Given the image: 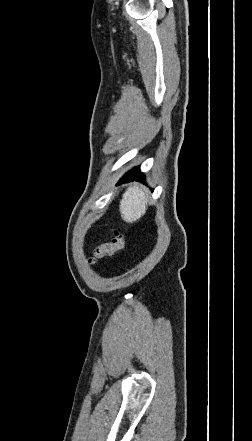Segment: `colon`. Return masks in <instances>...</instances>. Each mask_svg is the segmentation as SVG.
<instances>
[{"mask_svg":"<svg viewBox=\"0 0 252 441\" xmlns=\"http://www.w3.org/2000/svg\"><path fill=\"white\" fill-rule=\"evenodd\" d=\"M124 246L125 239L123 235L115 232L113 237L109 241L99 244L94 248L92 256L90 258V262L94 263L105 257L113 255L117 251L122 250Z\"/></svg>","mask_w":252,"mask_h":441,"instance_id":"obj_1","label":"colon"}]
</instances>
